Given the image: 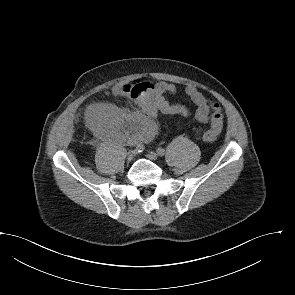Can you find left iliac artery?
<instances>
[{
    "mask_svg": "<svg viewBox=\"0 0 295 295\" xmlns=\"http://www.w3.org/2000/svg\"><path fill=\"white\" fill-rule=\"evenodd\" d=\"M157 154L159 156H163L165 154V149H163L162 147H159L157 150H156Z\"/></svg>",
    "mask_w": 295,
    "mask_h": 295,
    "instance_id": "left-iliac-artery-1",
    "label": "left iliac artery"
}]
</instances>
